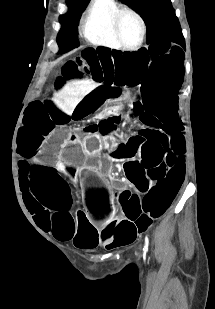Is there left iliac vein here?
Here are the masks:
<instances>
[{
	"instance_id": "4c4485c4",
	"label": "left iliac vein",
	"mask_w": 215,
	"mask_h": 309,
	"mask_svg": "<svg viewBox=\"0 0 215 309\" xmlns=\"http://www.w3.org/2000/svg\"><path fill=\"white\" fill-rule=\"evenodd\" d=\"M141 251H142V245L140 246V253H141Z\"/></svg>"
}]
</instances>
